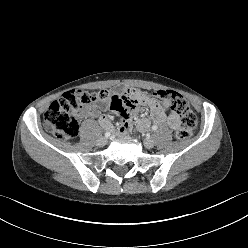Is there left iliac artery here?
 I'll list each match as a JSON object with an SVG mask.
<instances>
[{"label":"left iliac artery","instance_id":"44dca946","mask_svg":"<svg viewBox=\"0 0 248 248\" xmlns=\"http://www.w3.org/2000/svg\"><path fill=\"white\" fill-rule=\"evenodd\" d=\"M158 129V127L156 125L152 126V130L156 131Z\"/></svg>","mask_w":248,"mask_h":248}]
</instances>
